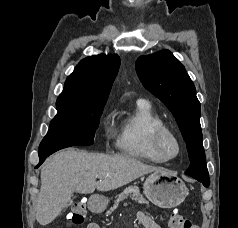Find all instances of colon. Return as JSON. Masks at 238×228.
<instances>
[{"label": "colon", "mask_w": 238, "mask_h": 228, "mask_svg": "<svg viewBox=\"0 0 238 228\" xmlns=\"http://www.w3.org/2000/svg\"><path fill=\"white\" fill-rule=\"evenodd\" d=\"M87 216L85 203L77 201L72 205L71 212L68 215L70 225H81L84 223ZM169 228H194L191 220L180 213H171L169 216Z\"/></svg>", "instance_id": "1"}]
</instances>
